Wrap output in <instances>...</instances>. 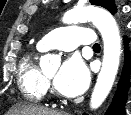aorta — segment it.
Wrapping results in <instances>:
<instances>
[{
	"mask_svg": "<svg viewBox=\"0 0 131 115\" xmlns=\"http://www.w3.org/2000/svg\"><path fill=\"white\" fill-rule=\"evenodd\" d=\"M65 24L92 21L101 33L104 43V56L101 71L98 75L92 96L91 108L97 109L108 96L119 67L121 39L119 29L113 16L97 7L76 8L65 13L62 19ZM54 60L47 54L41 59V65Z\"/></svg>",
	"mask_w": 131,
	"mask_h": 115,
	"instance_id": "obj_1",
	"label": "aorta"
}]
</instances>
